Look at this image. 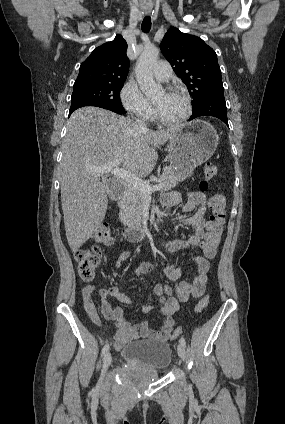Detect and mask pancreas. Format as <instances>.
<instances>
[{"label":"pancreas","mask_w":285,"mask_h":424,"mask_svg":"<svg viewBox=\"0 0 285 424\" xmlns=\"http://www.w3.org/2000/svg\"><path fill=\"white\" fill-rule=\"evenodd\" d=\"M158 181L163 184L161 191H168L174 188L181 181V178L172 167H166ZM145 200L146 195L144 193L131 186L127 188L126 194L120 203L119 218L123 224L130 228H139L141 226Z\"/></svg>","instance_id":"1"}]
</instances>
